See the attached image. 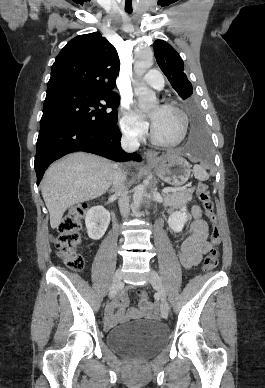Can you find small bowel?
Returning <instances> with one entry per match:
<instances>
[{
	"label": "small bowel",
	"mask_w": 265,
	"mask_h": 388,
	"mask_svg": "<svg viewBox=\"0 0 265 388\" xmlns=\"http://www.w3.org/2000/svg\"><path fill=\"white\" fill-rule=\"evenodd\" d=\"M187 226L190 229V235L182 241L178 256L183 267L190 269L198 265L203 255L211 248V244L207 241V224L202 218L199 206L194 205L191 208L187 216ZM128 292L129 288L121 290L118 296L107 305L104 315L107 328L126 321L128 317L137 316L136 311H133L130 316L124 314V309L129 303ZM150 312L151 307L147 303H142L141 313L149 315Z\"/></svg>",
	"instance_id": "small-bowel-1"
}]
</instances>
